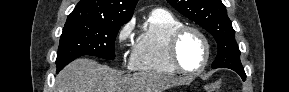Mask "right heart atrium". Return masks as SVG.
<instances>
[{"instance_id":"d8ad5b80","label":"right heart atrium","mask_w":289,"mask_h":92,"mask_svg":"<svg viewBox=\"0 0 289 92\" xmlns=\"http://www.w3.org/2000/svg\"><path fill=\"white\" fill-rule=\"evenodd\" d=\"M133 27V21H129L119 30L117 38L120 45L123 46L127 43L133 31Z\"/></svg>"}]
</instances>
